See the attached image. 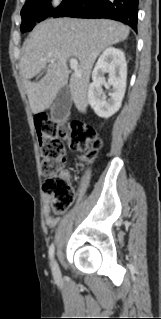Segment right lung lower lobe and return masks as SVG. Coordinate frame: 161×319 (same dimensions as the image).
I'll use <instances>...</instances> for the list:
<instances>
[{
    "label": "right lung lower lobe",
    "instance_id": "1",
    "mask_svg": "<svg viewBox=\"0 0 161 319\" xmlns=\"http://www.w3.org/2000/svg\"><path fill=\"white\" fill-rule=\"evenodd\" d=\"M138 0H83L63 17L106 18L137 31Z\"/></svg>",
    "mask_w": 161,
    "mask_h": 319
}]
</instances>
